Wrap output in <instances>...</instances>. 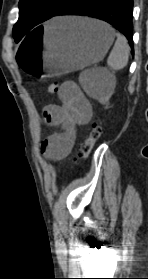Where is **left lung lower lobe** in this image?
<instances>
[{"instance_id": "1", "label": "left lung lower lobe", "mask_w": 148, "mask_h": 279, "mask_svg": "<svg viewBox=\"0 0 148 279\" xmlns=\"http://www.w3.org/2000/svg\"><path fill=\"white\" fill-rule=\"evenodd\" d=\"M133 0H69L54 16L81 15L104 20L132 39Z\"/></svg>"}]
</instances>
